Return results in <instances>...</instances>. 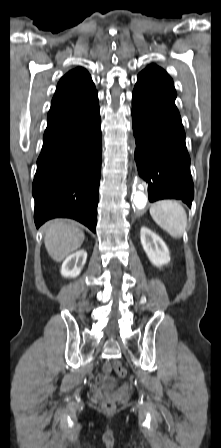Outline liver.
Returning <instances> with one entry per match:
<instances>
[{
    "label": "liver",
    "mask_w": 221,
    "mask_h": 448,
    "mask_svg": "<svg viewBox=\"0 0 221 448\" xmlns=\"http://www.w3.org/2000/svg\"><path fill=\"white\" fill-rule=\"evenodd\" d=\"M44 243L50 257L60 262L83 243L84 232L69 220L55 219L43 226Z\"/></svg>",
    "instance_id": "6515ba94"
}]
</instances>
